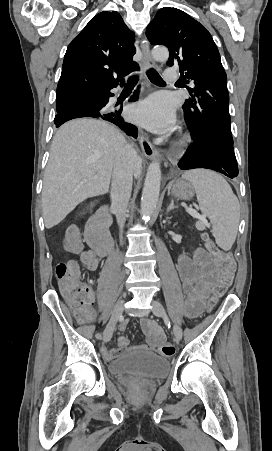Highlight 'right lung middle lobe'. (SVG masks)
<instances>
[{
    "label": "right lung middle lobe",
    "mask_w": 272,
    "mask_h": 451,
    "mask_svg": "<svg viewBox=\"0 0 272 451\" xmlns=\"http://www.w3.org/2000/svg\"><path fill=\"white\" fill-rule=\"evenodd\" d=\"M65 98H57V103H59L60 101H62Z\"/></svg>",
    "instance_id": "right-lung-middle-lobe-1"
}]
</instances>
